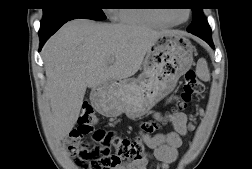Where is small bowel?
I'll return each mask as SVG.
<instances>
[{
	"label": "small bowel",
	"mask_w": 252,
	"mask_h": 169,
	"mask_svg": "<svg viewBox=\"0 0 252 169\" xmlns=\"http://www.w3.org/2000/svg\"><path fill=\"white\" fill-rule=\"evenodd\" d=\"M178 100L177 96H171L168 102ZM155 120L170 123L173 131L157 135H145V144L152 149V157L161 163L162 169H167L177 158L178 148L182 145V137L187 134V117L184 113L178 112L168 117L162 116L159 112L154 114ZM96 141V139L94 138ZM150 158L146 157L139 161L123 162L116 169H147Z\"/></svg>",
	"instance_id": "obj_1"
}]
</instances>
